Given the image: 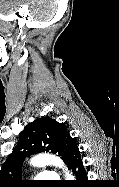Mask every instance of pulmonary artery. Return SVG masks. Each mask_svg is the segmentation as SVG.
Wrapping results in <instances>:
<instances>
[{
  "label": "pulmonary artery",
  "mask_w": 119,
  "mask_h": 187,
  "mask_svg": "<svg viewBox=\"0 0 119 187\" xmlns=\"http://www.w3.org/2000/svg\"><path fill=\"white\" fill-rule=\"evenodd\" d=\"M38 178L45 180H55L58 178V175L55 172H43L38 176Z\"/></svg>",
  "instance_id": "e3ab8cb5"
}]
</instances>
